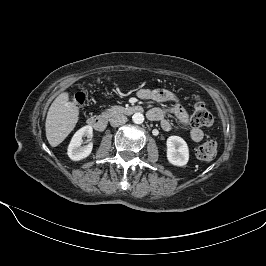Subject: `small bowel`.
<instances>
[{
  "instance_id": "1",
  "label": "small bowel",
  "mask_w": 266,
  "mask_h": 266,
  "mask_svg": "<svg viewBox=\"0 0 266 266\" xmlns=\"http://www.w3.org/2000/svg\"><path fill=\"white\" fill-rule=\"evenodd\" d=\"M140 99L152 100L158 103H169L166 108H153L148 112V117L151 120L159 121L161 127L168 131L172 124L167 118L172 114L181 124L188 126L190 123L189 113L184 105L176 98V96L168 90L160 88H143L136 92ZM204 136L203 131L198 127H192L190 130V137L192 140L198 142Z\"/></svg>"
}]
</instances>
